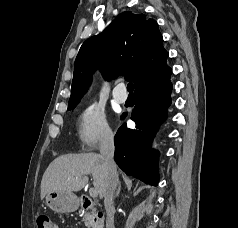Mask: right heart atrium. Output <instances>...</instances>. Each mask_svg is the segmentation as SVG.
Segmentation results:
<instances>
[{"instance_id": "1", "label": "right heart atrium", "mask_w": 238, "mask_h": 228, "mask_svg": "<svg viewBox=\"0 0 238 228\" xmlns=\"http://www.w3.org/2000/svg\"><path fill=\"white\" fill-rule=\"evenodd\" d=\"M77 135L82 148L88 151L113 140L114 135L106 114L99 104L90 103L81 110L77 121Z\"/></svg>"}]
</instances>
